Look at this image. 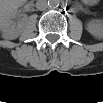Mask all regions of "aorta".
Masks as SVG:
<instances>
[{
	"label": "aorta",
	"mask_w": 103,
	"mask_h": 103,
	"mask_svg": "<svg viewBox=\"0 0 103 103\" xmlns=\"http://www.w3.org/2000/svg\"><path fill=\"white\" fill-rule=\"evenodd\" d=\"M48 5H49L51 8L58 7V6H59V1H58V0H50V1H48Z\"/></svg>",
	"instance_id": "762f6f07"
}]
</instances>
